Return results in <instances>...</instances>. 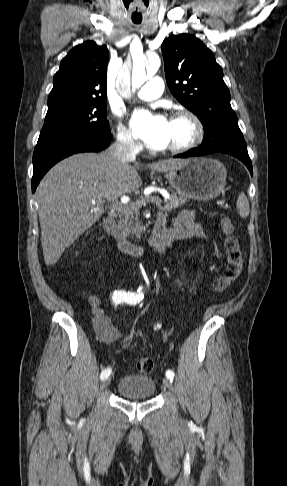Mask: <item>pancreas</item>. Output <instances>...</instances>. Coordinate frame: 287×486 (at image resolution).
Listing matches in <instances>:
<instances>
[{
    "mask_svg": "<svg viewBox=\"0 0 287 486\" xmlns=\"http://www.w3.org/2000/svg\"><path fill=\"white\" fill-rule=\"evenodd\" d=\"M142 198L137 200L136 202H131L129 204L123 205V208L120 210L119 214V221H118V228L124 235H136L140 237L141 233L143 232V227L141 222L139 221V210L142 205L139 204ZM188 201L186 197H177L175 194H171L168 199L165 200V209L171 211L176 209Z\"/></svg>",
    "mask_w": 287,
    "mask_h": 486,
    "instance_id": "1",
    "label": "pancreas"
}]
</instances>
